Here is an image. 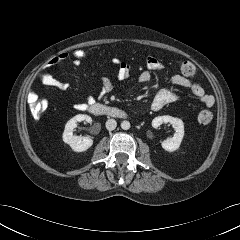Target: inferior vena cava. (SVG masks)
Returning a JSON list of instances; mask_svg holds the SVG:
<instances>
[{"mask_svg": "<svg viewBox=\"0 0 240 240\" xmlns=\"http://www.w3.org/2000/svg\"><path fill=\"white\" fill-rule=\"evenodd\" d=\"M116 126H117V122H116L115 119H108L106 121V128H107V130L112 131V130H114L116 128Z\"/></svg>", "mask_w": 240, "mask_h": 240, "instance_id": "obj_1", "label": "inferior vena cava"}]
</instances>
